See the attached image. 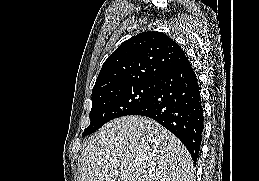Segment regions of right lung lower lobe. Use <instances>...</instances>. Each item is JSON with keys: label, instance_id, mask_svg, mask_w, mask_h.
<instances>
[{"label": "right lung lower lobe", "instance_id": "1", "mask_svg": "<svg viewBox=\"0 0 259 181\" xmlns=\"http://www.w3.org/2000/svg\"><path fill=\"white\" fill-rule=\"evenodd\" d=\"M130 115L156 120L186 146L197 160L203 131V107L196 74L188 60L154 82L148 100Z\"/></svg>", "mask_w": 259, "mask_h": 181}]
</instances>
